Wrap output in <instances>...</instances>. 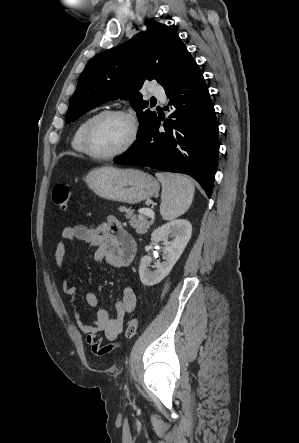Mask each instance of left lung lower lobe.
<instances>
[{"label":"left lung lower lobe","instance_id":"0a47b994","mask_svg":"<svg viewBox=\"0 0 299 443\" xmlns=\"http://www.w3.org/2000/svg\"><path fill=\"white\" fill-rule=\"evenodd\" d=\"M165 92L172 113L164 121V131L159 130L162 119L156 116L114 162L188 174L210 197L219 154L218 125L198 65L195 63Z\"/></svg>","mask_w":299,"mask_h":443}]
</instances>
